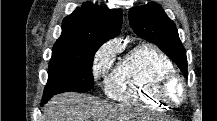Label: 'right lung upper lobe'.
<instances>
[{"mask_svg": "<svg viewBox=\"0 0 217 121\" xmlns=\"http://www.w3.org/2000/svg\"><path fill=\"white\" fill-rule=\"evenodd\" d=\"M121 26L120 9H105L87 2L64 18L62 34L55 44L98 42L102 45L118 36Z\"/></svg>", "mask_w": 217, "mask_h": 121, "instance_id": "right-lung-upper-lobe-1", "label": "right lung upper lobe"}]
</instances>
